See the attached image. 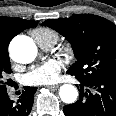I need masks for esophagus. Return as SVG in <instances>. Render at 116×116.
Here are the masks:
<instances>
[{
  "instance_id": "34e87169",
  "label": "esophagus",
  "mask_w": 116,
  "mask_h": 116,
  "mask_svg": "<svg viewBox=\"0 0 116 116\" xmlns=\"http://www.w3.org/2000/svg\"><path fill=\"white\" fill-rule=\"evenodd\" d=\"M49 89H57L59 85H49L47 86Z\"/></svg>"
}]
</instances>
